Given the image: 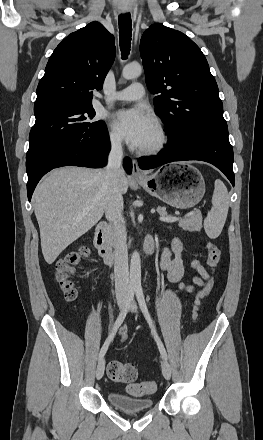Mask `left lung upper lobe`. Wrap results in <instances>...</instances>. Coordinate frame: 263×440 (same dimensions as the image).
Wrapping results in <instances>:
<instances>
[{"instance_id":"5c2ea615","label":"left lung upper lobe","mask_w":263,"mask_h":440,"mask_svg":"<svg viewBox=\"0 0 263 440\" xmlns=\"http://www.w3.org/2000/svg\"><path fill=\"white\" fill-rule=\"evenodd\" d=\"M140 54L155 111L180 149L197 144L204 134L227 128L218 86L199 47L185 34L163 24L143 34Z\"/></svg>"}]
</instances>
